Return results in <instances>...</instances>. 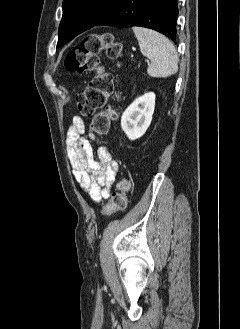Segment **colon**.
Segmentation results:
<instances>
[{"instance_id": "5ec220e1", "label": "colon", "mask_w": 240, "mask_h": 329, "mask_svg": "<svg viewBox=\"0 0 240 329\" xmlns=\"http://www.w3.org/2000/svg\"><path fill=\"white\" fill-rule=\"evenodd\" d=\"M102 51H106L110 57H119L121 46L113 42L107 34H87L70 50L64 61L66 69L70 72L92 74L86 88L77 96V105L79 112L86 117L101 110L94 115L90 123V129L98 136L106 134L111 122L117 118V109L108 104V99L114 92V86L112 77L102 68L98 56ZM130 188V180L121 179L111 194L109 202L103 207L102 214L107 216L124 210L127 207Z\"/></svg>"}]
</instances>
